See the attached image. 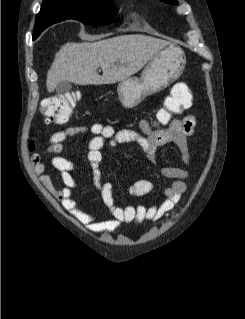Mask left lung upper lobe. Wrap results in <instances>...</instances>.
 Wrapping results in <instances>:
<instances>
[{"label": "left lung upper lobe", "mask_w": 245, "mask_h": 319, "mask_svg": "<svg viewBox=\"0 0 245 319\" xmlns=\"http://www.w3.org/2000/svg\"><path fill=\"white\" fill-rule=\"evenodd\" d=\"M162 1L169 3V4H173V5L177 4L176 0H162Z\"/></svg>", "instance_id": "obj_1"}]
</instances>
